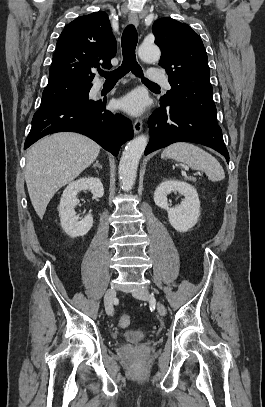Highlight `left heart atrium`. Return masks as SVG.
<instances>
[{
	"instance_id": "39dd6f15",
	"label": "left heart atrium",
	"mask_w": 265,
	"mask_h": 407,
	"mask_svg": "<svg viewBox=\"0 0 265 407\" xmlns=\"http://www.w3.org/2000/svg\"><path fill=\"white\" fill-rule=\"evenodd\" d=\"M118 106L131 115H140L145 110L146 99L139 92H132L123 97Z\"/></svg>"
}]
</instances>
